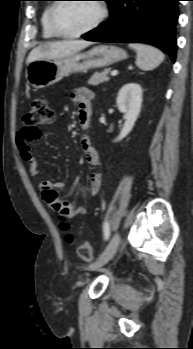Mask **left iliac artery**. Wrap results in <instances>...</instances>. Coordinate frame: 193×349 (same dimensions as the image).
I'll return each instance as SVG.
<instances>
[{
	"mask_svg": "<svg viewBox=\"0 0 193 349\" xmlns=\"http://www.w3.org/2000/svg\"><path fill=\"white\" fill-rule=\"evenodd\" d=\"M103 232H104L105 240H108L109 236H110V227H109V223L107 221H105L103 224Z\"/></svg>",
	"mask_w": 193,
	"mask_h": 349,
	"instance_id": "left-iliac-artery-1",
	"label": "left iliac artery"
}]
</instances>
